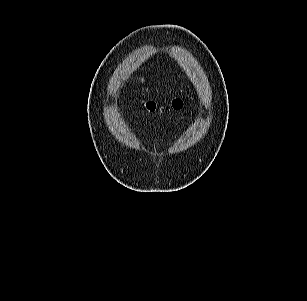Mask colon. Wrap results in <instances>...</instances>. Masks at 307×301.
<instances>
[{
  "label": "colon",
  "mask_w": 307,
  "mask_h": 301,
  "mask_svg": "<svg viewBox=\"0 0 307 301\" xmlns=\"http://www.w3.org/2000/svg\"><path fill=\"white\" fill-rule=\"evenodd\" d=\"M183 105H184V101L181 98H175L167 105L166 108L173 109V110H179L183 107ZM146 107L151 111H155L159 108L155 102H148L146 104Z\"/></svg>",
  "instance_id": "obj_1"
}]
</instances>
